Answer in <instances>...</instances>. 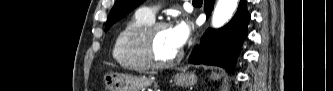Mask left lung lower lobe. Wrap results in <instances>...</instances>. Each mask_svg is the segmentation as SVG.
I'll return each mask as SVG.
<instances>
[{"label": "left lung lower lobe", "instance_id": "left-lung-lower-lobe-1", "mask_svg": "<svg viewBox=\"0 0 333 91\" xmlns=\"http://www.w3.org/2000/svg\"><path fill=\"white\" fill-rule=\"evenodd\" d=\"M207 17L211 14L214 0H205ZM245 0H241L238 11L224 27L208 29L199 45L195 46L189 61L193 64L217 65L232 72L235 59L240 52L242 42L247 36L250 15L246 10Z\"/></svg>", "mask_w": 333, "mask_h": 91}]
</instances>
